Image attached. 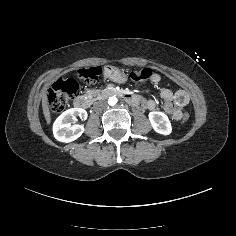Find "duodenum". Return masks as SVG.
<instances>
[{"label": "duodenum", "instance_id": "obj_1", "mask_svg": "<svg viewBox=\"0 0 236 236\" xmlns=\"http://www.w3.org/2000/svg\"><path fill=\"white\" fill-rule=\"evenodd\" d=\"M102 95L104 96H119L124 98L128 103L132 104L138 109H143L149 106V103H147L144 99L131 95V94H123L119 91H117L114 88L105 89L102 92ZM74 107L77 109H87L89 107V100L85 96H78L74 99ZM167 108L174 113L175 112V104L170 102L167 104Z\"/></svg>", "mask_w": 236, "mask_h": 236}]
</instances>
